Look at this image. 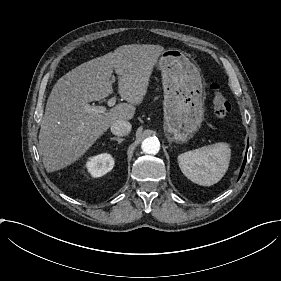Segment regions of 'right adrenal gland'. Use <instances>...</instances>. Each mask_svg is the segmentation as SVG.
<instances>
[{
	"label": "right adrenal gland",
	"mask_w": 281,
	"mask_h": 281,
	"mask_svg": "<svg viewBox=\"0 0 281 281\" xmlns=\"http://www.w3.org/2000/svg\"><path fill=\"white\" fill-rule=\"evenodd\" d=\"M111 140H115L118 144H121L125 139L120 137H112Z\"/></svg>",
	"instance_id": "1"
}]
</instances>
